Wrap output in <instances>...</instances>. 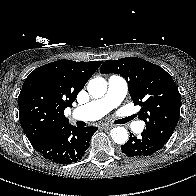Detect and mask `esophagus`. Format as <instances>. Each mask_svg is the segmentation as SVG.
<instances>
[{"mask_svg":"<svg viewBox=\"0 0 196 196\" xmlns=\"http://www.w3.org/2000/svg\"><path fill=\"white\" fill-rule=\"evenodd\" d=\"M113 127V125H111V124H103L102 125V128L103 129H110V128H112Z\"/></svg>","mask_w":196,"mask_h":196,"instance_id":"obj_1","label":"esophagus"}]
</instances>
